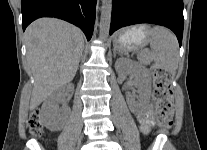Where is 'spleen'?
<instances>
[{"mask_svg": "<svg viewBox=\"0 0 207 150\" xmlns=\"http://www.w3.org/2000/svg\"><path fill=\"white\" fill-rule=\"evenodd\" d=\"M150 58L162 69L172 73L178 68L179 45L176 36L169 29L155 26L150 31Z\"/></svg>", "mask_w": 207, "mask_h": 150, "instance_id": "1", "label": "spleen"}]
</instances>
